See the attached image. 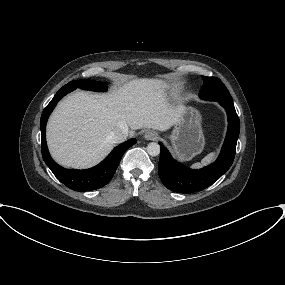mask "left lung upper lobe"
<instances>
[{"mask_svg":"<svg viewBox=\"0 0 285 285\" xmlns=\"http://www.w3.org/2000/svg\"><path fill=\"white\" fill-rule=\"evenodd\" d=\"M202 79L203 86L199 92L202 99L233 104L229 91L219 78L202 76Z\"/></svg>","mask_w":285,"mask_h":285,"instance_id":"1","label":"left lung upper lobe"}]
</instances>
